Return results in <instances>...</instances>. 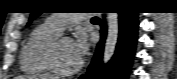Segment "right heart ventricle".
Returning a JSON list of instances; mask_svg holds the SVG:
<instances>
[{"label":"right heart ventricle","instance_id":"e07e8e85","mask_svg":"<svg viewBox=\"0 0 177 79\" xmlns=\"http://www.w3.org/2000/svg\"><path fill=\"white\" fill-rule=\"evenodd\" d=\"M60 34L61 32L47 22L35 27L21 50L20 66L22 71L33 75H49L52 71L46 64L45 52L48 45Z\"/></svg>","mask_w":177,"mask_h":79}]
</instances>
